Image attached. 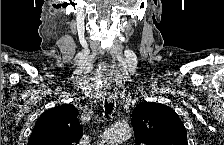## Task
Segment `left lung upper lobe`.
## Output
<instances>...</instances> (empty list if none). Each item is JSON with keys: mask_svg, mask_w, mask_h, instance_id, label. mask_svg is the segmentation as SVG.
Here are the masks:
<instances>
[{"mask_svg": "<svg viewBox=\"0 0 224 145\" xmlns=\"http://www.w3.org/2000/svg\"><path fill=\"white\" fill-rule=\"evenodd\" d=\"M137 145H188L186 129L175 111L153 102H140L132 113Z\"/></svg>", "mask_w": 224, "mask_h": 145, "instance_id": "left-lung-upper-lobe-1", "label": "left lung upper lobe"}]
</instances>
